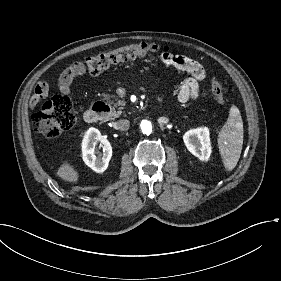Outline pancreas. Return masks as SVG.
Listing matches in <instances>:
<instances>
[{
    "label": "pancreas",
    "instance_id": "1",
    "mask_svg": "<svg viewBox=\"0 0 281 281\" xmlns=\"http://www.w3.org/2000/svg\"><path fill=\"white\" fill-rule=\"evenodd\" d=\"M116 105H118V106H123V105H125V102L124 101H118L117 103H116ZM122 114V107H119V110L118 111H113V113H112V117H113V119H115V118H118V117H120V115Z\"/></svg>",
    "mask_w": 281,
    "mask_h": 281
}]
</instances>
